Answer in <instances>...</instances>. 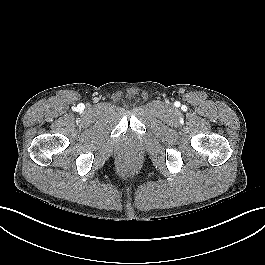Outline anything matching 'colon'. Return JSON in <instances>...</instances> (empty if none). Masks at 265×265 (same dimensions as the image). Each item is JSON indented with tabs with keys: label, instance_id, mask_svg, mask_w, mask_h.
Here are the masks:
<instances>
[{
	"label": "colon",
	"instance_id": "colon-1",
	"mask_svg": "<svg viewBox=\"0 0 265 265\" xmlns=\"http://www.w3.org/2000/svg\"><path fill=\"white\" fill-rule=\"evenodd\" d=\"M134 160H135V155L133 153H126L123 156V163L128 167L134 163Z\"/></svg>",
	"mask_w": 265,
	"mask_h": 265
}]
</instances>
